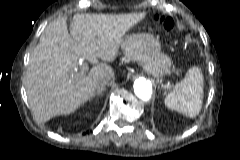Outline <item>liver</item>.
Masks as SVG:
<instances>
[{
    "instance_id": "6515ba94",
    "label": "liver",
    "mask_w": 240,
    "mask_h": 160,
    "mask_svg": "<svg viewBox=\"0 0 240 160\" xmlns=\"http://www.w3.org/2000/svg\"><path fill=\"white\" fill-rule=\"evenodd\" d=\"M145 16V12L75 14L71 30L66 17L50 23L31 53L26 76L27 96L35 118L46 122L70 114L92 98L99 81L114 77L113 69L106 63H96L86 75L78 76L79 60L113 61L125 33Z\"/></svg>"
}]
</instances>
